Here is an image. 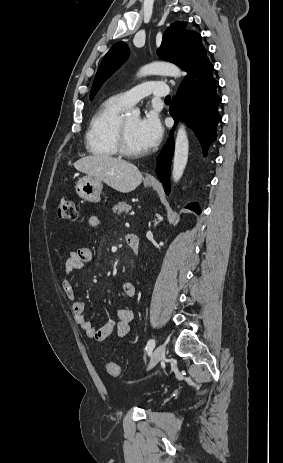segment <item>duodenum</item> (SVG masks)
<instances>
[{
	"mask_svg": "<svg viewBox=\"0 0 283 463\" xmlns=\"http://www.w3.org/2000/svg\"><path fill=\"white\" fill-rule=\"evenodd\" d=\"M127 244L129 245L130 249L132 250L133 254L136 256L139 252L140 248V240L136 234H128L126 236Z\"/></svg>",
	"mask_w": 283,
	"mask_h": 463,
	"instance_id": "obj_1",
	"label": "duodenum"
}]
</instances>
